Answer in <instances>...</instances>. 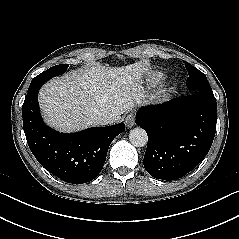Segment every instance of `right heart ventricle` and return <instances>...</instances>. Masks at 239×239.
Listing matches in <instances>:
<instances>
[{
    "instance_id": "right-heart-ventricle-1",
    "label": "right heart ventricle",
    "mask_w": 239,
    "mask_h": 239,
    "mask_svg": "<svg viewBox=\"0 0 239 239\" xmlns=\"http://www.w3.org/2000/svg\"><path fill=\"white\" fill-rule=\"evenodd\" d=\"M163 79V75L161 73H157L151 77L152 83H159Z\"/></svg>"
}]
</instances>
